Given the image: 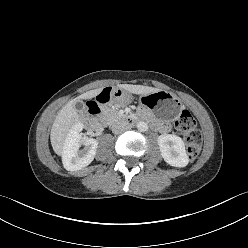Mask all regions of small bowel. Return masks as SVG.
I'll use <instances>...</instances> for the list:
<instances>
[{"label": "small bowel", "mask_w": 248, "mask_h": 248, "mask_svg": "<svg viewBox=\"0 0 248 248\" xmlns=\"http://www.w3.org/2000/svg\"><path fill=\"white\" fill-rule=\"evenodd\" d=\"M156 130H158L162 133H167L170 130V126L168 124H165V123H158V128Z\"/></svg>", "instance_id": "1"}]
</instances>
